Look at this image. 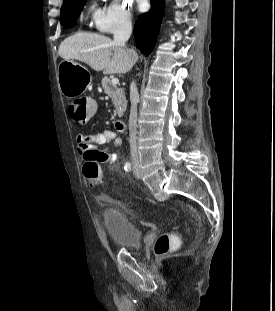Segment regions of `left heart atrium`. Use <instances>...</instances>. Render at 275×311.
<instances>
[{
	"instance_id": "obj_1",
	"label": "left heart atrium",
	"mask_w": 275,
	"mask_h": 311,
	"mask_svg": "<svg viewBox=\"0 0 275 311\" xmlns=\"http://www.w3.org/2000/svg\"><path fill=\"white\" fill-rule=\"evenodd\" d=\"M137 6L139 10H142L145 7V0H137Z\"/></svg>"
}]
</instances>
